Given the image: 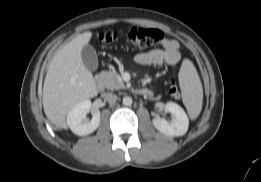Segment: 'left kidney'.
<instances>
[{"mask_svg": "<svg viewBox=\"0 0 261 182\" xmlns=\"http://www.w3.org/2000/svg\"><path fill=\"white\" fill-rule=\"evenodd\" d=\"M164 111L173 115L172 120L169 122L164 118L155 117L152 120L153 126L165 135L183 136L189 126V119L183 108L174 102H168L164 106Z\"/></svg>", "mask_w": 261, "mask_h": 182, "instance_id": "obj_1", "label": "left kidney"}]
</instances>
